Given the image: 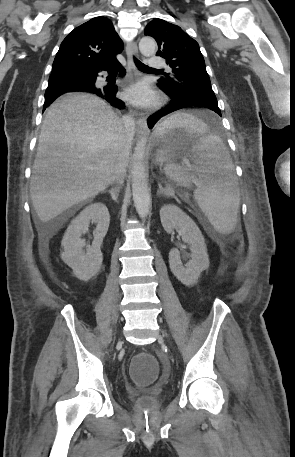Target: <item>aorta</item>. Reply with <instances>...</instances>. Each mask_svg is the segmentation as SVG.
Masks as SVG:
<instances>
[{
	"mask_svg": "<svg viewBox=\"0 0 295 457\" xmlns=\"http://www.w3.org/2000/svg\"><path fill=\"white\" fill-rule=\"evenodd\" d=\"M155 48L156 43L150 37H143L139 42V50L144 56L152 55L155 52ZM145 148L146 141L142 138L134 149L131 172L133 200L141 219H145L148 216L151 203L148 189V173L144 162Z\"/></svg>",
	"mask_w": 295,
	"mask_h": 457,
	"instance_id": "obj_1",
	"label": "aorta"
}]
</instances>
